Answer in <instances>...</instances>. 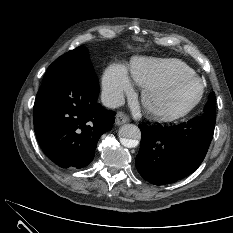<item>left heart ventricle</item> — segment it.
I'll use <instances>...</instances> for the list:
<instances>
[{
	"label": "left heart ventricle",
	"mask_w": 233,
	"mask_h": 233,
	"mask_svg": "<svg viewBox=\"0 0 233 233\" xmlns=\"http://www.w3.org/2000/svg\"><path fill=\"white\" fill-rule=\"evenodd\" d=\"M199 92L198 82L186 80L155 92L152 95V102L165 110L176 112L190 105L197 98Z\"/></svg>",
	"instance_id": "left-heart-ventricle-1"
}]
</instances>
